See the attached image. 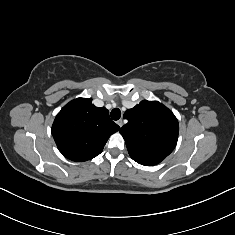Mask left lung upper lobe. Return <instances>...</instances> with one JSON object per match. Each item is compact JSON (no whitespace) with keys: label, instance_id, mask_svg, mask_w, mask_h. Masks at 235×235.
Returning <instances> with one entry per match:
<instances>
[{"label":"left lung upper lobe","instance_id":"left-lung-upper-lobe-1","mask_svg":"<svg viewBox=\"0 0 235 235\" xmlns=\"http://www.w3.org/2000/svg\"><path fill=\"white\" fill-rule=\"evenodd\" d=\"M128 120L120 133L131 158L151 166L164 160L175 148L179 124L174 114L158 101H141L124 113Z\"/></svg>","mask_w":235,"mask_h":235}]
</instances>
